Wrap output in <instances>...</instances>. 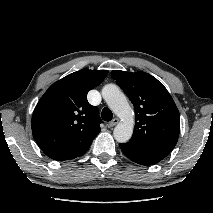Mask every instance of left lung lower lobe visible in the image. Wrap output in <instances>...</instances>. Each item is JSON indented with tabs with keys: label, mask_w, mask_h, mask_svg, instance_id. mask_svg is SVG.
I'll return each instance as SVG.
<instances>
[{
	"label": "left lung lower lobe",
	"mask_w": 213,
	"mask_h": 213,
	"mask_svg": "<svg viewBox=\"0 0 213 213\" xmlns=\"http://www.w3.org/2000/svg\"><path fill=\"white\" fill-rule=\"evenodd\" d=\"M120 148L126 157L141 165L145 166L154 165L160 162L162 159H164L163 157L157 155L141 152L127 143L120 144Z\"/></svg>",
	"instance_id": "0a47b994"
}]
</instances>
